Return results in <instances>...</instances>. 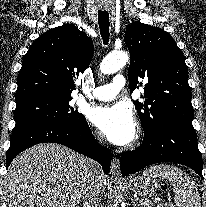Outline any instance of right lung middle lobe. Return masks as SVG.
<instances>
[{
	"instance_id": "dd1d6c3e",
	"label": "right lung middle lobe",
	"mask_w": 206,
	"mask_h": 207,
	"mask_svg": "<svg viewBox=\"0 0 206 207\" xmlns=\"http://www.w3.org/2000/svg\"><path fill=\"white\" fill-rule=\"evenodd\" d=\"M71 96L36 94L16 100L12 134L41 124L78 126L85 117L69 105Z\"/></svg>"
}]
</instances>
